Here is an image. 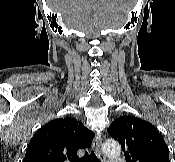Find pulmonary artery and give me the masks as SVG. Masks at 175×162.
<instances>
[{
	"mask_svg": "<svg viewBox=\"0 0 175 162\" xmlns=\"http://www.w3.org/2000/svg\"><path fill=\"white\" fill-rule=\"evenodd\" d=\"M109 162H125V161L122 158H116V159L109 160Z\"/></svg>",
	"mask_w": 175,
	"mask_h": 162,
	"instance_id": "pulmonary-artery-1",
	"label": "pulmonary artery"
}]
</instances>
